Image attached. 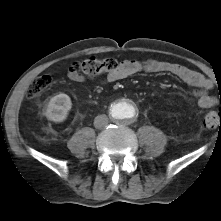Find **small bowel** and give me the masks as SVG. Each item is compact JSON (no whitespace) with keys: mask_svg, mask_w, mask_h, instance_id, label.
Wrapping results in <instances>:
<instances>
[{"mask_svg":"<svg viewBox=\"0 0 221 221\" xmlns=\"http://www.w3.org/2000/svg\"><path fill=\"white\" fill-rule=\"evenodd\" d=\"M140 72L171 74L196 88L194 94L197 99L198 107L207 109L215 106L216 104V99L208 94V91L213 87L212 81L204 75L179 64L154 60H125L120 64L119 68L115 72L107 77V81L114 82L122 80ZM67 77L73 82L79 83L84 81L83 75L72 68L68 70Z\"/></svg>","mask_w":221,"mask_h":221,"instance_id":"obj_1","label":"small bowel"}]
</instances>
